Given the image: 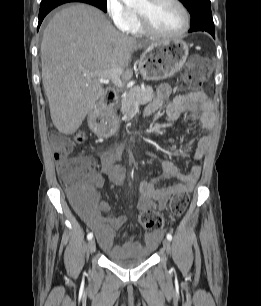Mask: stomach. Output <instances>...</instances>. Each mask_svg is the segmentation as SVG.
Segmentation results:
<instances>
[{"instance_id": "0dacf381", "label": "stomach", "mask_w": 261, "mask_h": 306, "mask_svg": "<svg viewBox=\"0 0 261 306\" xmlns=\"http://www.w3.org/2000/svg\"><path fill=\"white\" fill-rule=\"evenodd\" d=\"M189 54L188 44L181 39L161 40L149 45L138 61L139 71L144 79L158 81L177 73L185 64ZM88 123L99 136H109L117 128L113 118L92 111Z\"/></svg>"}]
</instances>
